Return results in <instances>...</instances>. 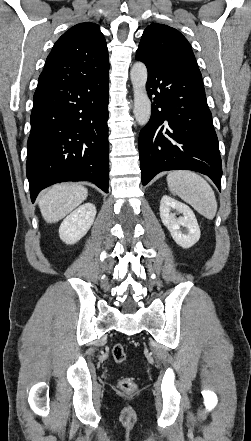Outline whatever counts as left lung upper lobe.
I'll return each mask as SVG.
<instances>
[{
    "label": "left lung upper lobe",
    "mask_w": 251,
    "mask_h": 441,
    "mask_svg": "<svg viewBox=\"0 0 251 441\" xmlns=\"http://www.w3.org/2000/svg\"><path fill=\"white\" fill-rule=\"evenodd\" d=\"M136 57L151 65L201 76L190 43L179 31L164 24L153 23L145 29Z\"/></svg>",
    "instance_id": "obj_1"
}]
</instances>
